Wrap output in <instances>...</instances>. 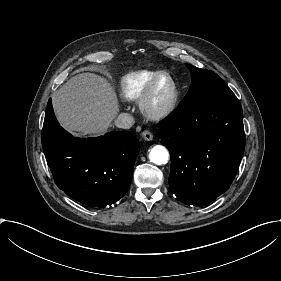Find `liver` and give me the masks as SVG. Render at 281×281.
<instances>
[{
	"label": "liver",
	"mask_w": 281,
	"mask_h": 281,
	"mask_svg": "<svg viewBox=\"0 0 281 281\" xmlns=\"http://www.w3.org/2000/svg\"><path fill=\"white\" fill-rule=\"evenodd\" d=\"M52 101L61 125L81 135L105 134L119 112L113 86L106 78L89 72L70 78Z\"/></svg>",
	"instance_id": "1"
}]
</instances>
